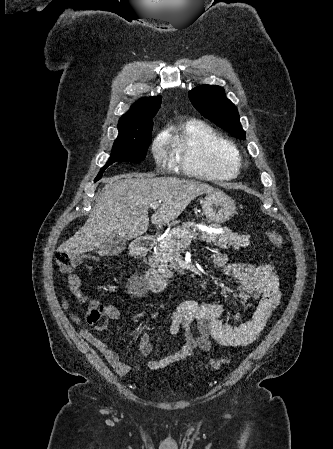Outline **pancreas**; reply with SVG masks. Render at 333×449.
Instances as JSON below:
<instances>
[{
  "label": "pancreas",
  "mask_w": 333,
  "mask_h": 449,
  "mask_svg": "<svg viewBox=\"0 0 333 449\" xmlns=\"http://www.w3.org/2000/svg\"><path fill=\"white\" fill-rule=\"evenodd\" d=\"M191 229L198 231L199 240L217 245L220 248L228 249L233 247L238 249L250 244L248 236L239 235L232 232L229 228H224L221 233H209L200 230L194 222H184L182 226L170 231L156 246L153 255L154 264L164 277H171L173 275L171 270L177 269L181 247L188 245L192 240V236L189 234Z\"/></svg>",
  "instance_id": "1"
}]
</instances>
